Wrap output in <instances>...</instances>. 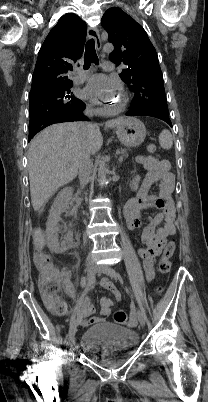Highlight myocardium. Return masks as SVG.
I'll return each mask as SVG.
<instances>
[{
  "instance_id": "f54148a6",
  "label": "myocardium",
  "mask_w": 208,
  "mask_h": 402,
  "mask_svg": "<svg viewBox=\"0 0 208 402\" xmlns=\"http://www.w3.org/2000/svg\"><path fill=\"white\" fill-rule=\"evenodd\" d=\"M127 101H128V98L123 94V91H121V96L117 99L116 102H118L119 105L121 107H123L126 105Z\"/></svg>"
}]
</instances>
